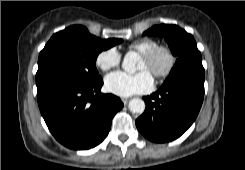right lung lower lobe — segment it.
Here are the masks:
<instances>
[{
  "mask_svg": "<svg viewBox=\"0 0 245 170\" xmlns=\"http://www.w3.org/2000/svg\"><path fill=\"white\" fill-rule=\"evenodd\" d=\"M102 85L101 79L87 86L61 87L37 98L46 125L65 147L90 149L107 136L123 103L112 94L100 93Z\"/></svg>",
  "mask_w": 245,
  "mask_h": 170,
  "instance_id": "1",
  "label": "right lung lower lobe"
}]
</instances>
